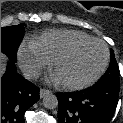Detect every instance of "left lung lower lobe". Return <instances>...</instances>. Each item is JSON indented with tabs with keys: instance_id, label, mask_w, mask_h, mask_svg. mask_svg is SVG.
<instances>
[{
	"instance_id": "obj_1",
	"label": "left lung lower lobe",
	"mask_w": 123,
	"mask_h": 123,
	"mask_svg": "<svg viewBox=\"0 0 123 123\" xmlns=\"http://www.w3.org/2000/svg\"><path fill=\"white\" fill-rule=\"evenodd\" d=\"M119 86L96 83L76 93H57L59 123H109L114 115Z\"/></svg>"
}]
</instances>
